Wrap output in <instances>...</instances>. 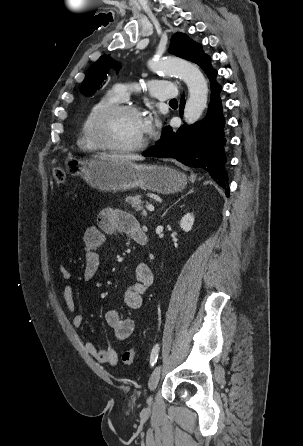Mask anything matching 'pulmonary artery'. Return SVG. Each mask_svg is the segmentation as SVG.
Listing matches in <instances>:
<instances>
[{
  "label": "pulmonary artery",
  "instance_id": "1",
  "mask_svg": "<svg viewBox=\"0 0 303 446\" xmlns=\"http://www.w3.org/2000/svg\"><path fill=\"white\" fill-rule=\"evenodd\" d=\"M130 87L125 84H117L115 92L121 98L126 100L129 96ZM149 90L151 95L158 100H170L176 97L177 91L175 86L163 80H153L149 83Z\"/></svg>",
  "mask_w": 303,
  "mask_h": 446
}]
</instances>
